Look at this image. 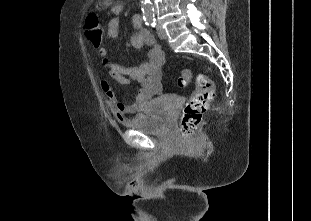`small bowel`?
<instances>
[{
  "label": "small bowel",
  "instance_id": "small-bowel-1",
  "mask_svg": "<svg viewBox=\"0 0 311 221\" xmlns=\"http://www.w3.org/2000/svg\"><path fill=\"white\" fill-rule=\"evenodd\" d=\"M110 10L112 17L108 22L105 35L108 39H116L119 36V16L123 11V4L121 2L113 3ZM132 24L136 29L131 37L132 46L136 49L144 45L149 46L148 59L145 62L136 66L120 65L109 59L107 47L102 46L98 50V55L107 76L101 80V87L110 109L121 120L128 114L142 111L146 102L162 90L161 70L165 63V55L152 35L143 28V21L139 15L133 17ZM109 78L114 79L121 85L133 83L137 85V92L131 103L126 104L118 99Z\"/></svg>",
  "mask_w": 311,
  "mask_h": 221
}]
</instances>
